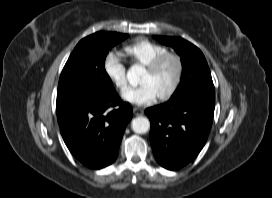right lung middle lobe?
Returning <instances> with one entry per match:
<instances>
[{"label":"right lung middle lobe","mask_w":272,"mask_h":198,"mask_svg":"<svg viewBox=\"0 0 272 198\" xmlns=\"http://www.w3.org/2000/svg\"><path fill=\"white\" fill-rule=\"evenodd\" d=\"M127 37V34L101 31L82 39L62 70L57 103L113 93L115 89L105 70V58L111 47Z\"/></svg>","instance_id":"1"}]
</instances>
